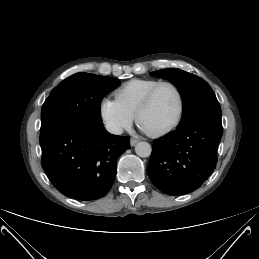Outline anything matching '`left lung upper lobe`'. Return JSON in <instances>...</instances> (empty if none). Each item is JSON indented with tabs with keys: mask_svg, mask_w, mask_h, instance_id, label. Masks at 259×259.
<instances>
[{
	"mask_svg": "<svg viewBox=\"0 0 259 259\" xmlns=\"http://www.w3.org/2000/svg\"><path fill=\"white\" fill-rule=\"evenodd\" d=\"M150 75L165 78L177 87L183 101L179 126L202 118L221 120L219 102L212 88L202 78L177 68L158 70Z\"/></svg>",
	"mask_w": 259,
	"mask_h": 259,
	"instance_id": "1",
	"label": "left lung upper lobe"
}]
</instances>
